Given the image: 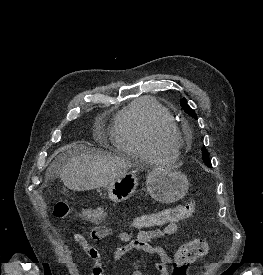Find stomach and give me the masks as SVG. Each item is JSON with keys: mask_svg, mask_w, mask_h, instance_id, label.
<instances>
[{"mask_svg": "<svg viewBox=\"0 0 263 275\" xmlns=\"http://www.w3.org/2000/svg\"><path fill=\"white\" fill-rule=\"evenodd\" d=\"M140 166H134L122 177L108 185V197L119 203L134 194L138 186ZM147 192L156 201L172 203L183 198L188 192L189 182L180 171L169 166H156L150 170L146 178Z\"/></svg>", "mask_w": 263, "mask_h": 275, "instance_id": "1", "label": "stomach"}]
</instances>
